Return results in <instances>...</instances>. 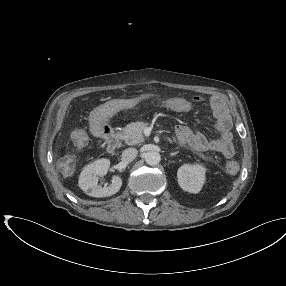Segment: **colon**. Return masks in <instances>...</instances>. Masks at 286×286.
Returning <instances> with one entry per match:
<instances>
[{
  "label": "colon",
  "mask_w": 286,
  "mask_h": 286,
  "mask_svg": "<svg viewBox=\"0 0 286 286\" xmlns=\"http://www.w3.org/2000/svg\"><path fill=\"white\" fill-rule=\"evenodd\" d=\"M87 134L84 130H78L73 135V142L77 147H84L87 143ZM64 162L67 164H74L75 160L72 156H68L64 159ZM227 169L229 172H235L237 170V164L231 162L227 165Z\"/></svg>",
  "instance_id": "colon-1"
}]
</instances>
